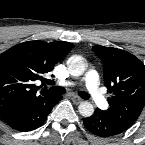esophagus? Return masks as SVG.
Instances as JSON below:
<instances>
[{"instance_id": "34e87169", "label": "esophagus", "mask_w": 145, "mask_h": 145, "mask_svg": "<svg viewBox=\"0 0 145 145\" xmlns=\"http://www.w3.org/2000/svg\"><path fill=\"white\" fill-rule=\"evenodd\" d=\"M72 101L75 103V104H79L83 101L82 98L76 96V95H72Z\"/></svg>"}]
</instances>
